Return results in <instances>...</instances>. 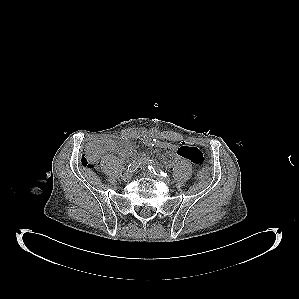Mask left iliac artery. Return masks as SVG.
Here are the masks:
<instances>
[{"mask_svg":"<svg viewBox=\"0 0 299 299\" xmlns=\"http://www.w3.org/2000/svg\"><path fill=\"white\" fill-rule=\"evenodd\" d=\"M148 169L151 173L155 174V175H158V176H162V177H167V173L163 172L162 170L160 169H156L152 166H148Z\"/></svg>","mask_w":299,"mask_h":299,"instance_id":"left-iliac-artery-1","label":"left iliac artery"}]
</instances>
